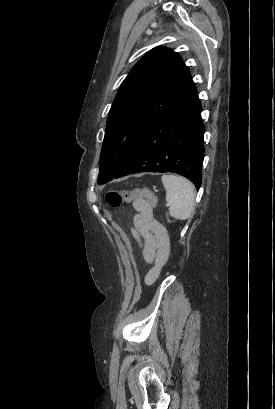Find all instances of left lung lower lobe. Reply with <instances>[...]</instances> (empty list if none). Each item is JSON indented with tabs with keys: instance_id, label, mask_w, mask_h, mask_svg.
<instances>
[{
	"instance_id": "1",
	"label": "left lung lower lobe",
	"mask_w": 275,
	"mask_h": 409,
	"mask_svg": "<svg viewBox=\"0 0 275 409\" xmlns=\"http://www.w3.org/2000/svg\"><path fill=\"white\" fill-rule=\"evenodd\" d=\"M200 112L196 89L152 125L114 178L137 172H174L190 179L198 189L205 131Z\"/></svg>"
}]
</instances>
